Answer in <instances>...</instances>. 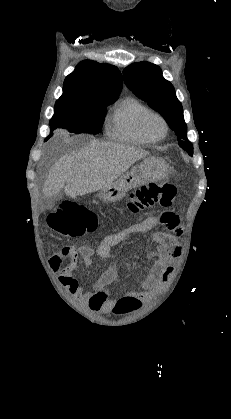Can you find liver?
<instances>
[{"label": "liver", "mask_w": 231, "mask_h": 419, "mask_svg": "<svg viewBox=\"0 0 231 419\" xmlns=\"http://www.w3.org/2000/svg\"><path fill=\"white\" fill-rule=\"evenodd\" d=\"M148 152L115 142H92L81 150L63 156L50 169L43 194L56 195L64 189L75 198L111 185Z\"/></svg>", "instance_id": "6515ba94"}]
</instances>
